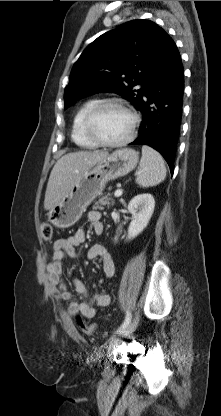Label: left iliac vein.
I'll return each instance as SVG.
<instances>
[{"label":"left iliac vein","instance_id":"1","mask_svg":"<svg viewBox=\"0 0 221 416\" xmlns=\"http://www.w3.org/2000/svg\"><path fill=\"white\" fill-rule=\"evenodd\" d=\"M139 317L138 315L132 320V322L122 331L118 333V335L112 336L108 343L109 350L114 349L120 343L121 337H129L136 329L138 324Z\"/></svg>","mask_w":221,"mask_h":416}]
</instances>
